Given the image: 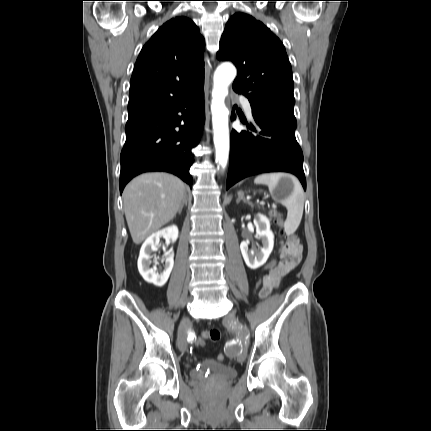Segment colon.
<instances>
[{"instance_id": "5ec220e1", "label": "colon", "mask_w": 431, "mask_h": 431, "mask_svg": "<svg viewBox=\"0 0 431 431\" xmlns=\"http://www.w3.org/2000/svg\"><path fill=\"white\" fill-rule=\"evenodd\" d=\"M273 215H274L277 223L279 224V226H281L280 227L281 237H284L285 242H288L289 239L293 241V237L295 235L289 236V235H286L285 232H283L284 228L282 227L283 226V220H282L281 216L277 213H273ZM274 263H277V261L274 258H271L269 260V263L266 264V267L271 268V266ZM262 271H265V268H262ZM262 284L263 283H262L261 279H258L256 285H254V288L259 290V289H261ZM252 298H253V300L256 301V300H258L259 297H258V295L255 294V295H253ZM219 339H220L219 330H217V329L205 330L202 332V337H200V336L195 337V344H197V348L204 349L205 348L204 340H211V341L215 342V341H218ZM219 360H220V363H223L224 362V355H219Z\"/></svg>"}]
</instances>
